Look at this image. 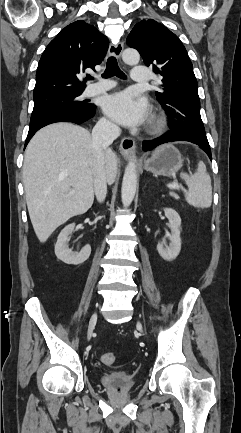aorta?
Segmentation results:
<instances>
[{
    "label": "aorta",
    "instance_id": "obj_1",
    "mask_svg": "<svg viewBox=\"0 0 241 433\" xmlns=\"http://www.w3.org/2000/svg\"><path fill=\"white\" fill-rule=\"evenodd\" d=\"M122 59L127 64H137L140 60V55L135 49H125L122 53ZM137 188V171L135 160L132 159L126 166L122 188L121 198L122 204L125 208L129 207L132 203Z\"/></svg>",
    "mask_w": 241,
    "mask_h": 433
}]
</instances>
